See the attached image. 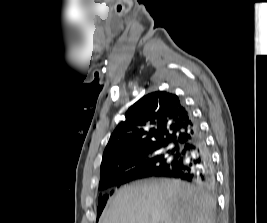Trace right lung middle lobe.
I'll use <instances>...</instances> for the list:
<instances>
[{
	"label": "right lung middle lobe",
	"mask_w": 267,
	"mask_h": 223,
	"mask_svg": "<svg viewBox=\"0 0 267 223\" xmlns=\"http://www.w3.org/2000/svg\"><path fill=\"white\" fill-rule=\"evenodd\" d=\"M165 149V148H164ZM159 150L155 153H152L150 155L144 156L142 157L138 163H139V169L136 173H134L135 176H138L139 178H146V177H151L157 173H159L160 171L169 168L170 166H172L179 155V151L176 150L175 148H170V149H166V150ZM114 176H110L107 178H104L100 181V188H102L105 184V182L108 179H112ZM108 197L104 196L102 197V199L100 200L99 198V206H98V217L101 214L106 201H107Z\"/></svg>",
	"instance_id": "dd1d6c3e"
}]
</instances>
